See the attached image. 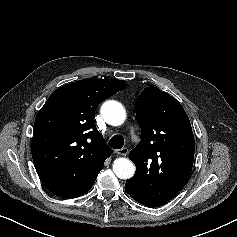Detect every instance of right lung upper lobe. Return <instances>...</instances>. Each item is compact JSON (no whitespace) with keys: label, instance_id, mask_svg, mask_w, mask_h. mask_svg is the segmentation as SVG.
Here are the masks:
<instances>
[{"label":"right lung upper lobe","instance_id":"1","mask_svg":"<svg viewBox=\"0 0 237 237\" xmlns=\"http://www.w3.org/2000/svg\"><path fill=\"white\" fill-rule=\"evenodd\" d=\"M125 86L116 79L72 82L55 90L38 112L32 157L53 194L75 198L91 189L112 153L95 126V110Z\"/></svg>","mask_w":237,"mask_h":237}]
</instances>
